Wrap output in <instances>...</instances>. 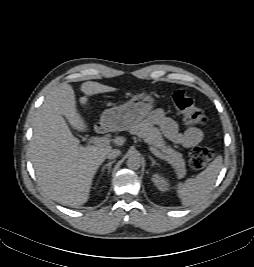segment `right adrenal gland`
<instances>
[{
  "label": "right adrenal gland",
  "instance_id": "2a0ac1e0",
  "mask_svg": "<svg viewBox=\"0 0 254 267\" xmlns=\"http://www.w3.org/2000/svg\"><path fill=\"white\" fill-rule=\"evenodd\" d=\"M115 161H116V160H112V161H110L109 163L105 164V165L102 167V172H104L106 168L108 169V172H110V170H111V166H112V164H113Z\"/></svg>",
  "mask_w": 254,
  "mask_h": 267
}]
</instances>
